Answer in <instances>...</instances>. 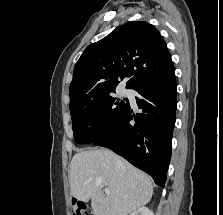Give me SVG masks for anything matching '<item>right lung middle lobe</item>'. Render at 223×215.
Returning <instances> with one entry per match:
<instances>
[{"label":"right lung middle lobe","instance_id":"1","mask_svg":"<svg viewBox=\"0 0 223 215\" xmlns=\"http://www.w3.org/2000/svg\"><path fill=\"white\" fill-rule=\"evenodd\" d=\"M129 101L113 94L71 108L72 129L77 143H93L106 135L124 116Z\"/></svg>","mask_w":223,"mask_h":215}]
</instances>
